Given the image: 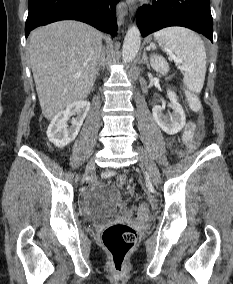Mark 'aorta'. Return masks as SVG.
Segmentation results:
<instances>
[{"instance_id":"obj_1","label":"aorta","mask_w":233,"mask_h":284,"mask_svg":"<svg viewBox=\"0 0 233 284\" xmlns=\"http://www.w3.org/2000/svg\"><path fill=\"white\" fill-rule=\"evenodd\" d=\"M140 44V31L136 25H132L126 33L122 48V59L125 63L132 61L136 57Z\"/></svg>"}]
</instances>
